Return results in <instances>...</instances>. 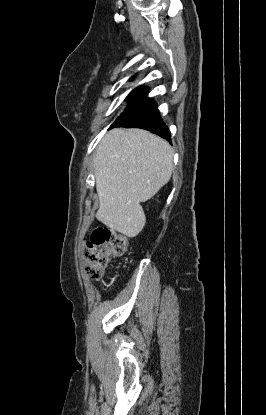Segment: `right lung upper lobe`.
Instances as JSON below:
<instances>
[{"label":"right lung upper lobe","instance_id":"1","mask_svg":"<svg viewBox=\"0 0 266 415\" xmlns=\"http://www.w3.org/2000/svg\"><path fill=\"white\" fill-rule=\"evenodd\" d=\"M146 91H147V88L138 87L135 90H133L132 93L144 94Z\"/></svg>","mask_w":266,"mask_h":415}]
</instances>
